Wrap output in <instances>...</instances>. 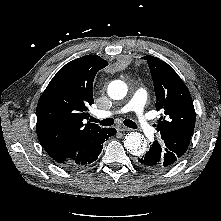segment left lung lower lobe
Here are the masks:
<instances>
[{
  "instance_id": "1",
  "label": "left lung lower lobe",
  "mask_w": 221,
  "mask_h": 221,
  "mask_svg": "<svg viewBox=\"0 0 221 221\" xmlns=\"http://www.w3.org/2000/svg\"><path fill=\"white\" fill-rule=\"evenodd\" d=\"M171 159L160 143L155 141L151 144L149 150L138 158L137 164L146 170L163 171L174 165Z\"/></svg>"
}]
</instances>
